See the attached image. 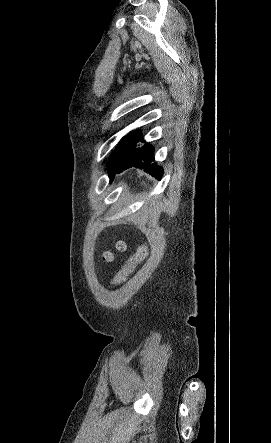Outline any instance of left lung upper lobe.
<instances>
[{
    "label": "left lung upper lobe",
    "mask_w": 271,
    "mask_h": 443,
    "mask_svg": "<svg viewBox=\"0 0 271 443\" xmlns=\"http://www.w3.org/2000/svg\"><path fill=\"white\" fill-rule=\"evenodd\" d=\"M120 142H121V141H120ZM117 152H118V147H117V149L111 154V156H110V158H109V161H108V171H109V175H110V171H111V168H112V166H113L114 160H115V158H116Z\"/></svg>",
    "instance_id": "left-lung-upper-lobe-1"
}]
</instances>
